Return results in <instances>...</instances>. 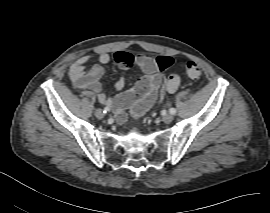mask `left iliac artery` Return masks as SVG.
<instances>
[{
  "mask_svg": "<svg viewBox=\"0 0 270 213\" xmlns=\"http://www.w3.org/2000/svg\"><path fill=\"white\" fill-rule=\"evenodd\" d=\"M169 113L172 114V115L176 114V109L175 108H170Z\"/></svg>",
  "mask_w": 270,
  "mask_h": 213,
  "instance_id": "obj_1",
  "label": "left iliac artery"
}]
</instances>
